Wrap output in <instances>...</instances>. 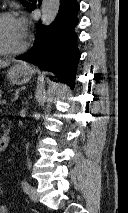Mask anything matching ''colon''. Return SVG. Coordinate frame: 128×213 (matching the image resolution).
Listing matches in <instances>:
<instances>
[{
    "label": "colon",
    "mask_w": 128,
    "mask_h": 213,
    "mask_svg": "<svg viewBox=\"0 0 128 213\" xmlns=\"http://www.w3.org/2000/svg\"><path fill=\"white\" fill-rule=\"evenodd\" d=\"M0 193H4V189L0 186Z\"/></svg>",
    "instance_id": "obj_1"
}]
</instances>
